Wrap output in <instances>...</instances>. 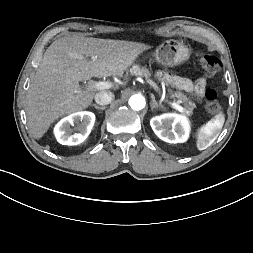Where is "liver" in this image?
Segmentation results:
<instances>
[{
	"mask_svg": "<svg viewBox=\"0 0 253 253\" xmlns=\"http://www.w3.org/2000/svg\"><path fill=\"white\" fill-rule=\"evenodd\" d=\"M147 49L143 43L77 35L55 40L27 92L25 110L33 137L42 138L55 120L91 104L95 93L81 90L79 81L122 76Z\"/></svg>",
	"mask_w": 253,
	"mask_h": 253,
	"instance_id": "6515ba94",
	"label": "liver"
}]
</instances>
